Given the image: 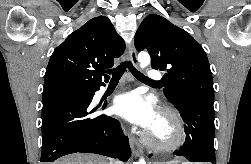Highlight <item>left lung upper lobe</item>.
<instances>
[{
	"label": "left lung upper lobe",
	"mask_w": 251,
	"mask_h": 164,
	"mask_svg": "<svg viewBox=\"0 0 251 164\" xmlns=\"http://www.w3.org/2000/svg\"><path fill=\"white\" fill-rule=\"evenodd\" d=\"M134 43L138 51L148 50L153 69L167 71L163 91L174 106L188 100L214 103L209 61L189 33L160 15L150 14L139 26Z\"/></svg>",
	"instance_id": "obj_1"
}]
</instances>
